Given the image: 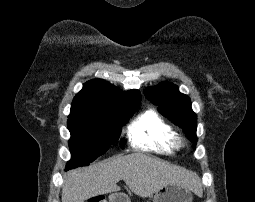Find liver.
Instances as JSON below:
<instances>
[{
    "instance_id": "1",
    "label": "liver",
    "mask_w": 255,
    "mask_h": 202,
    "mask_svg": "<svg viewBox=\"0 0 255 202\" xmlns=\"http://www.w3.org/2000/svg\"><path fill=\"white\" fill-rule=\"evenodd\" d=\"M120 180L140 197H149L172 183L192 191L200 188V179L195 173L142 153H133L71 171L62 186V202H84L119 191Z\"/></svg>"
}]
</instances>
